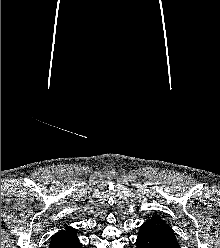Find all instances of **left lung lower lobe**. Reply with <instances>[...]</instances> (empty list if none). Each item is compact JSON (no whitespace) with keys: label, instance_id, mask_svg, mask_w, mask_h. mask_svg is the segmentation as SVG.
Instances as JSON below:
<instances>
[{"label":"left lung lower lobe","instance_id":"0a47b994","mask_svg":"<svg viewBox=\"0 0 220 248\" xmlns=\"http://www.w3.org/2000/svg\"><path fill=\"white\" fill-rule=\"evenodd\" d=\"M137 248H176L161 241L148 227L142 225L136 240Z\"/></svg>","mask_w":220,"mask_h":248}]
</instances>
